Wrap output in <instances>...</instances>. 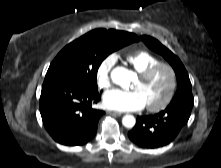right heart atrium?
Here are the masks:
<instances>
[{
  "label": "right heart atrium",
  "instance_id": "d8ad5b80",
  "mask_svg": "<svg viewBox=\"0 0 221 168\" xmlns=\"http://www.w3.org/2000/svg\"><path fill=\"white\" fill-rule=\"evenodd\" d=\"M116 63V56L110 54L99 64L96 71V81L100 89H109L112 85L111 73Z\"/></svg>",
  "mask_w": 221,
  "mask_h": 168
}]
</instances>
